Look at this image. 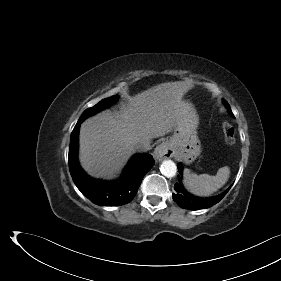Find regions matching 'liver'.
<instances>
[{
	"mask_svg": "<svg viewBox=\"0 0 281 281\" xmlns=\"http://www.w3.org/2000/svg\"><path fill=\"white\" fill-rule=\"evenodd\" d=\"M189 89L184 81L161 83L129 97L120 111L85 120L79 136L82 168L96 178L115 177L140 141L164 136L183 120L188 106L182 98Z\"/></svg>",
	"mask_w": 281,
	"mask_h": 281,
	"instance_id": "liver-1",
	"label": "liver"
}]
</instances>
